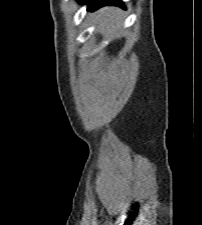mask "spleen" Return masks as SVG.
Wrapping results in <instances>:
<instances>
[{
  "label": "spleen",
  "instance_id": "3e777b00",
  "mask_svg": "<svg viewBox=\"0 0 202 225\" xmlns=\"http://www.w3.org/2000/svg\"><path fill=\"white\" fill-rule=\"evenodd\" d=\"M122 22L120 9H104L101 11L97 22V31L105 33L107 37H118Z\"/></svg>",
  "mask_w": 202,
  "mask_h": 225
}]
</instances>
